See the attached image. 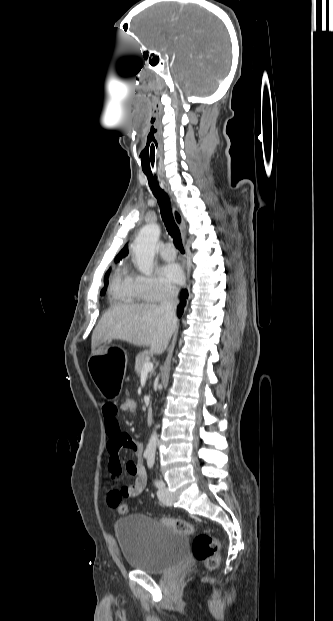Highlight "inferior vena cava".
Masks as SVG:
<instances>
[{
    "mask_svg": "<svg viewBox=\"0 0 333 621\" xmlns=\"http://www.w3.org/2000/svg\"><path fill=\"white\" fill-rule=\"evenodd\" d=\"M178 288H170L165 293L160 309L165 312L168 321L175 326L177 324L176 307L178 305Z\"/></svg>",
    "mask_w": 333,
    "mask_h": 621,
    "instance_id": "inferior-vena-cava-1",
    "label": "inferior vena cava"
}]
</instances>
